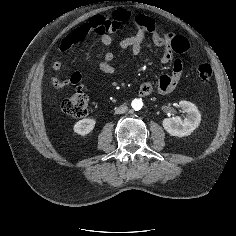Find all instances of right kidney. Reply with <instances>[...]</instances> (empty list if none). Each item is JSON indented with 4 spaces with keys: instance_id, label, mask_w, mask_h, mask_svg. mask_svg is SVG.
I'll return each instance as SVG.
<instances>
[{
    "instance_id": "obj_1",
    "label": "right kidney",
    "mask_w": 236,
    "mask_h": 236,
    "mask_svg": "<svg viewBox=\"0 0 236 236\" xmlns=\"http://www.w3.org/2000/svg\"><path fill=\"white\" fill-rule=\"evenodd\" d=\"M96 121L91 118H85L82 120H79L75 125H74V132L81 135L85 136L89 134L95 127Z\"/></svg>"
}]
</instances>
